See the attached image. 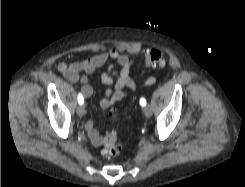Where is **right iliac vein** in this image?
Returning <instances> with one entry per match:
<instances>
[{
    "label": "right iliac vein",
    "mask_w": 245,
    "mask_h": 187,
    "mask_svg": "<svg viewBox=\"0 0 245 187\" xmlns=\"http://www.w3.org/2000/svg\"><path fill=\"white\" fill-rule=\"evenodd\" d=\"M77 114L78 116L82 117L85 114V106L81 105L77 108Z\"/></svg>",
    "instance_id": "obj_1"
}]
</instances>
